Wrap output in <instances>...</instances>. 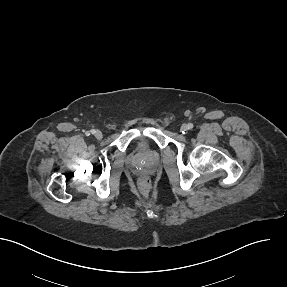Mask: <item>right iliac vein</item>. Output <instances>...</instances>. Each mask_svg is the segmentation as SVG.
Returning <instances> with one entry per match:
<instances>
[{"label":"right iliac vein","mask_w":287,"mask_h":287,"mask_svg":"<svg viewBox=\"0 0 287 287\" xmlns=\"http://www.w3.org/2000/svg\"><path fill=\"white\" fill-rule=\"evenodd\" d=\"M94 136H95L96 139H99V140H100V139H102L103 134H102L101 131L96 130V131L94 132Z\"/></svg>","instance_id":"obj_1"}]
</instances>
